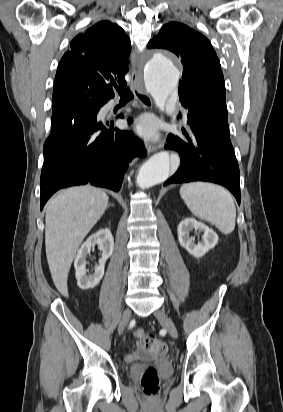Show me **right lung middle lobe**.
Wrapping results in <instances>:
<instances>
[{"label":"right lung middle lobe","instance_id":"obj_1","mask_svg":"<svg viewBox=\"0 0 283 412\" xmlns=\"http://www.w3.org/2000/svg\"><path fill=\"white\" fill-rule=\"evenodd\" d=\"M100 105L99 103H93L90 101H81L73 106H71L69 109H67L64 112H60L57 114H52V123H62L68 120L73 119L74 117L78 116L84 111L93 109H99Z\"/></svg>","mask_w":283,"mask_h":412}]
</instances>
